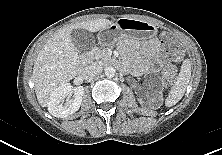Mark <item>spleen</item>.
<instances>
[{
	"instance_id": "obj_1",
	"label": "spleen",
	"mask_w": 222,
	"mask_h": 155,
	"mask_svg": "<svg viewBox=\"0 0 222 155\" xmlns=\"http://www.w3.org/2000/svg\"><path fill=\"white\" fill-rule=\"evenodd\" d=\"M190 77L191 63L189 60H185L181 66L180 73L176 79L175 85L171 88L169 95L165 100L166 107H172L181 100L189 84Z\"/></svg>"
}]
</instances>
